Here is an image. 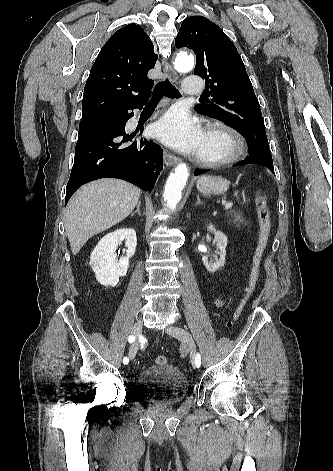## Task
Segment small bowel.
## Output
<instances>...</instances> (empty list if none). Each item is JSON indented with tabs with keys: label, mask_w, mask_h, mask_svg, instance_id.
<instances>
[{
	"label": "small bowel",
	"mask_w": 333,
	"mask_h": 471,
	"mask_svg": "<svg viewBox=\"0 0 333 471\" xmlns=\"http://www.w3.org/2000/svg\"><path fill=\"white\" fill-rule=\"evenodd\" d=\"M223 304H224L223 300L219 299V300L216 301L217 306H222Z\"/></svg>",
	"instance_id": "small-bowel-1"
}]
</instances>
